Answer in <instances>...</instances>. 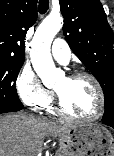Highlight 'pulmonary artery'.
I'll return each instance as SVG.
<instances>
[{"instance_id":"1","label":"pulmonary artery","mask_w":114,"mask_h":156,"mask_svg":"<svg viewBox=\"0 0 114 156\" xmlns=\"http://www.w3.org/2000/svg\"><path fill=\"white\" fill-rule=\"evenodd\" d=\"M51 53L53 58L59 63L67 64L70 60L71 51L63 39L58 38L53 42Z\"/></svg>"}]
</instances>
